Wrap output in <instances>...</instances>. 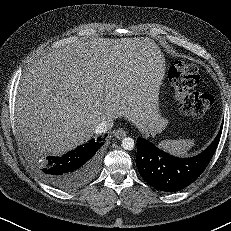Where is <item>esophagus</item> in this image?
Wrapping results in <instances>:
<instances>
[{
  "mask_svg": "<svg viewBox=\"0 0 231 231\" xmlns=\"http://www.w3.org/2000/svg\"><path fill=\"white\" fill-rule=\"evenodd\" d=\"M113 134L117 139H122L126 136V131L123 129H117Z\"/></svg>",
  "mask_w": 231,
  "mask_h": 231,
  "instance_id": "34e87169",
  "label": "esophagus"
}]
</instances>
